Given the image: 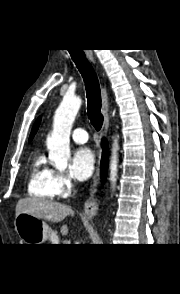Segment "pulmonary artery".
Instances as JSON below:
<instances>
[{"label":"pulmonary artery","mask_w":180,"mask_h":294,"mask_svg":"<svg viewBox=\"0 0 180 294\" xmlns=\"http://www.w3.org/2000/svg\"><path fill=\"white\" fill-rule=\"evenodd\" d=\"M72 138L77 143H85L88 140V134L84 129L77 128L73 131Z\"/></svg>","instance_id":"obj_1"}]
</instances>
